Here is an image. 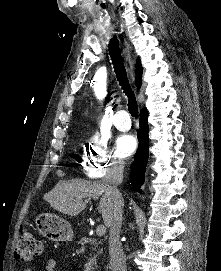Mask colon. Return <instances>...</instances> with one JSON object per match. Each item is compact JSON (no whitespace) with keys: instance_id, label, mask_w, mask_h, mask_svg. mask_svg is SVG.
<instances>
[{"instance_id":"obj_1","label":"colon","mask_w":221,"mask_h":271,"mask_svg":"<svg viewBox=\"0 0 221 271\" xmlns=\"http://www.w3.org/2000/svg\"><path fill=\"white\" fill-rule=\"evenodd\" d=\"M42 253V243L29 230H24L16 242L14 256L16 262L27 263L37 259Z\"/></svg>"}]
</instances>
